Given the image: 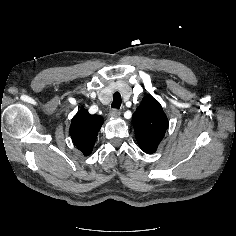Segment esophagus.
<instances>
[{"instance_id":"obj_1","label":"esophagus","mask_w":236,"mask_h":236,"mask_svg":"<svg viewBox=\"0 0 236 236\" xmlns=\"http://www.w3.org/2000/svg\"><path fill=\"white\" fill-rule=\"evenodd\" d=\"M120 114H121V111L118 109H112L110 111V116H112V117H118V116H120Z\"/></svg>"}]
</instances>
